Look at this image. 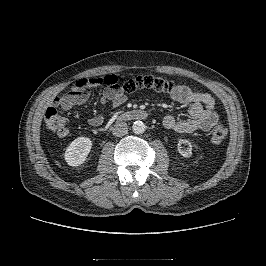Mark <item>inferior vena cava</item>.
Returning a JSON list of instances; mask_svg holds the SVG:
<instances>
[{
  "label": "inferior vena cava",
  "instance_id": "obj_1",
  "mask_svg": "<svg viewBox=\"0 0 266 266\" xmlns=\"http://www.w3.org/2000/svg\"><path fill=\"white\" fill-rule=\"evenodd\" d=\"M128 132V126L125 122H116L114 127L112 128V133L116 137H121L126 135Z\"/></svg>",
  "mask_w": 266,
  "mask_h": 266
}]
</instances>
